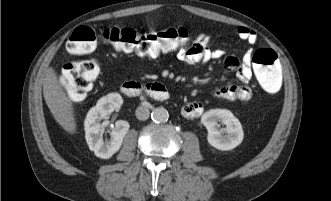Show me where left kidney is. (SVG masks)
Instances as JSON below:
<instances>
[{
	"mask_svg": "<svg viewBox=\"0 0 331 201\" xmlns=\"http://www.w3.org/2000/svg\"><path fill=\"white\" fill-rule=\"evenodd\" d=\"M218 122L226 127L220 130ZM201 123L208 131V143L218 150H232L243 140L244 133L240 121L227 109H211L205 112L201 117Z\"/></svg>",
	"mask_w": 331,
	"mask_h": 201,
	"instance_id": "left-kidney-1",
	"label": "left kidney"
}]
</instances>
